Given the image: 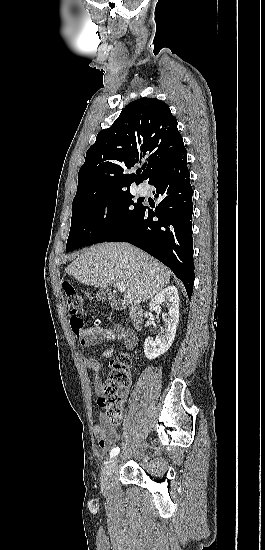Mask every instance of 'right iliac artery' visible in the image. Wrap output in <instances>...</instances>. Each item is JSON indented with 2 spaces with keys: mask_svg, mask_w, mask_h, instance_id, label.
I'll list each match as a JSON object with an SVG mask.
<instances>
[{
  "mask_svg": "<svg viewBox=\"0 0 265 550\" xmlns=\"http://www.w3.org/2000/svg\"><path fill=\"white\" fill-rule=\"evenodd\" d=\"M119 452H120V448H119V447H114V448H112V450H111V452H110V458L115 457Z\"/></svg>",
  "mask_w": 265,
  "mask_h": 550,
  "instance_id": "82829eb1",
  "label": "right iliac artery"
}]
</instances>
